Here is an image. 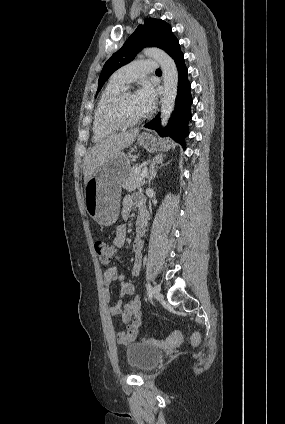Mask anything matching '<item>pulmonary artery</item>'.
<instances>
[{"instance_id":"1","label":"pulmonary artery","mask_w":285,"mask_h":424,"mask_svg":"<svg viewBox=\"0 0 285 424\" xmlns=\"http://www.w3.org/2000/svg\"><path fill=\"white\" fill-rule=\"evenodd\" d=\"M156 68L157 62L155 60L137 59L118 69L114 73L113 78L125 85L147 74L153 73Z\"/></svg>"}]
</instances>
